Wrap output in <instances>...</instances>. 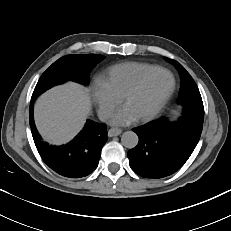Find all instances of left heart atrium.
<instances>
[{
  "mask_svg": "<svg viewBox=\"0 0 231 231\" xmlns=\"http://www.w3.org/2000/svg\"><path fill=\"white\" fill-rule=\"evenodd\" d=\"M135 120L136 116L127 106H124L119 111H117L112 118L113 124L116 125H126Z\"/></svg>",
  "mask_w": 231,
  "mask_h": 231,
  "instance_id": "39dd6f15",
  "label": "left heart atrium"
}]
</instances>
